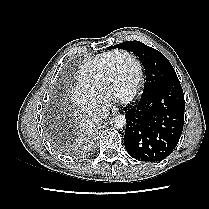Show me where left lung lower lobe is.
<instances>
[{
  "mask_svg": "<svg viewBox=\"0 0 209 209\" xmlns=\"http://www.w3.org/2000/svg\"><path fill=\"white\" fill-rule=\"evenodd\" d=\"M185 100L179 80L166 82L142 94L125 108L124 145L139 161L165 159L179 142L184 123Z\"/></svg>",
  "mask_w": 209,
  "mask_h": 209,
  "instance_id": "left-lung-lower-lobe-1",
  "label": "left lung lower lobe"
}]
</instances>
